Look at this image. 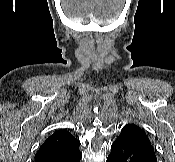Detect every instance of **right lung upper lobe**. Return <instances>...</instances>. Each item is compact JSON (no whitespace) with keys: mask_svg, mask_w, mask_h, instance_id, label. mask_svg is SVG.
<instances>
[{"mask_svg":"<svg viewBox=\"0 0 175 162\" xmlns=\"http://www.w3.org/2000/svg\"><path fill=\"white\" fill-rule=\"evenodd\" d=\"M79 146L80 142L68 130H59L46 139L35 158L61 152H75L79 150Z\"/></svg>","mask_w":175,"mask_h":162,"instance_id":"cb5924a9","label":"right lung upper lobe"}]
</instances>
